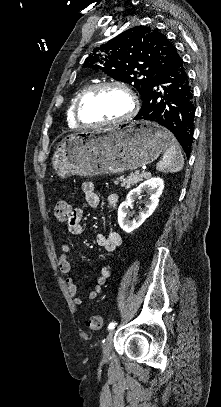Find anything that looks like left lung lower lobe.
Here are the masks:
<instances>
[{
  "mask_svg": "<svg viewBox=\"0 0 221 407\" xmlns=\"http://www.w3.org/2000/svg\"><path fill=\"white\" fill-rule=\"evenodd\" d=\"M135 120H149L170 130L190 156L194 133V97L179 51L173 46L169 60L151 79Z\"/></svg>",
  "mask_w": 221,
  "mask_h": 407,
  "instance_id": "0a47b994",
  "label": "left lung lower lobe"
}]
</instances>
